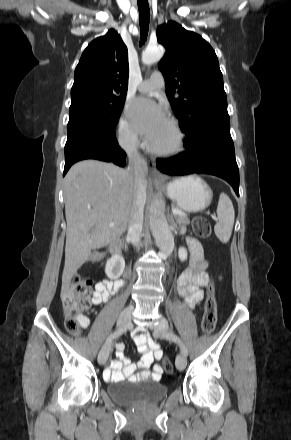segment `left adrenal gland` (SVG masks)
I'll return each instance as SVG.
<instances>
[{"instance_id": "obj_1", "label": "left adrenal gland", "mask_w": 291, "mask_h": 440, "mask_svg": "<svg viewBox=\"0 0 291 440\" xmlns=\"http://www.w3.org/2000/svg\"><path fill=\"white\" fill-rule=\"evenodd\" d=\"M171 223H172V225H173L174 227H177V225H176V223L174 222V219H173V218L171 219Z\"/></svg>"}]
</instances>
